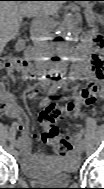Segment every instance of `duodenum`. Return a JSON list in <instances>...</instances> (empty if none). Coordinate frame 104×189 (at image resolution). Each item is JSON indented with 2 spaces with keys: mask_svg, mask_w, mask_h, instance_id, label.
I'll use <instances>...</instances> for the list:
<instances>
[{
  "mask_svg": "<svg viewBox=\"0 0 104 189\" xmlns=\"http://www.w3.org/2000/svg\"><path fill=\"white\" fill-rule=\"evenodd\" d=\"M26 64L29 67V69L33 72V74L38 75V70L32 65V61L34 59V53L30 46H27L26 51ZM74 54L78 57L79 60L84 61L86 59H89V56L86 52V50L83 47H77Z\"/></svg>",
  "mask_w": 104,
  "mask_h": 189,
  "instance_id": "1",
  "label": "duodenum"
}]
</instances>
